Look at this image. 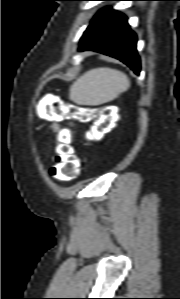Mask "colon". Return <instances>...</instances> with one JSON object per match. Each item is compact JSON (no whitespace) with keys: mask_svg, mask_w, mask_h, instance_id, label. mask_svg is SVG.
<instances>
[{"mask_svg":"<svg viewBox=\"0 0 180 299\" xmlns=\"http://www.w3.org/2000/svg\"><path fill=\"white\" fill-rule=\"evenodd\" d=\"M47 114L53 120L71 117L80 122L94 121L87 134L91 140H98L107 134L114 122V115H117L112 107H104L98 113L94 108L79 105L65 109L61 102H54ZM79 172L80 161L72 152L70 135L68 132H63L58 136L54 164L50 174L57 180L68 182L74 180Z\"/></svg>","mask_w":180,"mask_h":299,"instance_id":"colon-1","label":"colon"}]
</instances>
